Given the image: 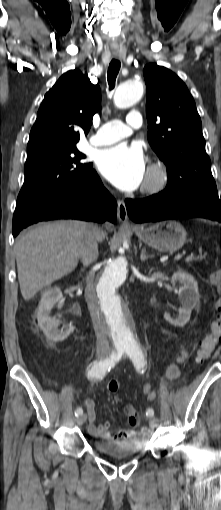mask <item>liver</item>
Masks as SVG:
<instances>
[{
	"label": "liver",
	"mask_w": 221,
	"mask_h": 510,
	"mask_svg": "<svg viewBox=\"0 0 221 510\" xmlns=\"http://www.w3.org/2000/svg\"><path fill=\"white\" fill-rule=\"evenodd\" d=\"M90 224L64 220L43 223L22 232L15 243L18 280L25 300L71 273L78 264V249ZM106 232L101 231L98 241Z\"/></svg>",
	"instance_id": "obj_1"
}]
</instances>
